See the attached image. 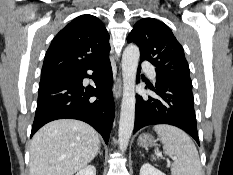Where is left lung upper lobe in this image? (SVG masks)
<instances>
[{"mask_svg": "<svg viewBox=\"0 0 233 175\" xmlns=\"http://www.w3.org/2000/svg\"><path fill=\"white\" fill-rule=\"evenodd\" d=\"M127 42L138 45L141 61L151 62L158 77L192 84L184 50L164 23L154 18L141 19Z\"/></svg>", "mask_w": 233, "mask_h": 175, "instance_id": "1", "label": "left lung upper lobe"}]
</instances>
